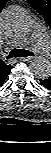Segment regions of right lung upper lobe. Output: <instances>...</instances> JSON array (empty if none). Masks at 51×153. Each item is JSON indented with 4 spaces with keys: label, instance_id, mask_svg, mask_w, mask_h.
Masks as SVG:
<instances>
[{
    "label": "right lung upper lobe",
    "instance_id": "cb5924a9",
    "mask_svg": "<svg viewBox=\"0 0 51 153\" xmlns=\"http://www.w3.org/2000/svg\"><path fill=\"white\" fill-rule=\"evenodd\" d=\"M8 0H0V12L7 3ZM11 70L10 65H6L4 61L0 59V86L4 83L5 79L7 78L9 72Z\"/></svg>",
    "mask_w": 51,
    "mask_h": 153
}]
</instances>
